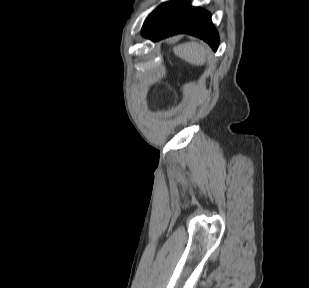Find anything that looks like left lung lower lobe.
<instances>
[{
  "label": "left lung lower lobe",
  "mask_w": 309,
  "mask_h": 288,
  "mask_svg": "<svg viewBox=\"0 0 309 288\" xmlns=\"http://www.w3.org/2000/svg\"><path fill=\"white\" fill-rule=\"evenodd\" d=\"M178 33H188L206 41L216 51L219 37L208 12L192 7L186 0L160 5L145 20L142 35L153 41Z\"/></svg>",
  "instance_id": "0a47b994"
}]
</instances>
